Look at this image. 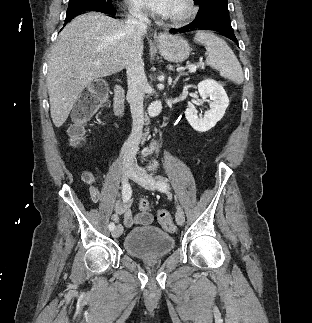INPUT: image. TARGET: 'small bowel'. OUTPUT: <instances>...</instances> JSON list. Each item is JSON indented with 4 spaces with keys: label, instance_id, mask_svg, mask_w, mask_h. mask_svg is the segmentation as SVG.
<instances>
[{
    "label": "small bowel",
    "instance_id": "1",
    "mask_svg": "<svg viewBox=\"0 0 312 323\" xmlns=\"http://www.w3.org/2000/svg\"><path fill=\"white\" fill-rule=\"evenodd\" d=\"M82 180L88 186V191L93 201L100 199V190L96 182V177L91 171L82 173ZM123 217V223L126 227L148 225L153 221V217L149 212L134 214L131 211V202L117 203L112 214V219L117 222L119 217Z\"/></svg>",
    "mask_w": 312,
    "mask_h": 323
}]
</instances>
